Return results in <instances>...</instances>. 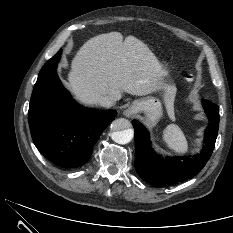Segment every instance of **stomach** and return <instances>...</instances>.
<instances>
[{
    "instance_id": "obj_1",
    "label": "stomach",
    "mask_w": 233,
    "mask_h": 233,
    "mask_svg": "<svg viewBox=\"0 0 233 233\" xmlns=\"http://www.w3.org/2000/svg\"><path fill=\"white\" fill-rule=\"evenodd\" d=\"M164 76L167 71L163 69ZM129 114L142 115V119L150 124L155 125L163 115L161 102L152 96H147L138 100H135L131 107L128 109Z\"/></svg>"
}]
</instances>
